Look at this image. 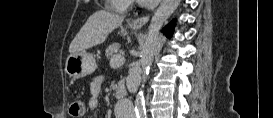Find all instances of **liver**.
Segmentation results:
<instances>
[{
    "mask_svg": "<svg viewBox=\"0 0 273 118\" xmlns=\"http://www.w3.org/2000/svg\"><path fill=\"white\" fill-rule=\"evenodd\" d=\"M124 17L100 10L92 14L69 46L70 54L78 53L87 48L103 43L114 29L119 27Z\"/></svg>",
    "mask_w": 273,
    "mask_h": 118,
    "instance_id": "6515ba94",
    "label": "liver"
}]
</instances>
